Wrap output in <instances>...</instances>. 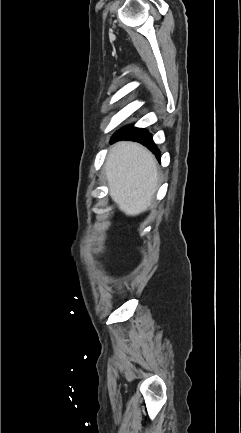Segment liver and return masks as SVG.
Returning a JSON list of instances; mask_svg holds the SVG:
<instances>
[{"label": "liver", "instance_id": "obj_1", "mask_svg": "<svg viewBox=\"0 0 241 433\" xmlns=\"http://www.w3.org/2000/svg\"><path fill=\"white\" fill-rule=\"evenodd\" d=\"M105 174L112 200L128 216L146 211L158 186L154 155L138 143L115 144L106 159Z\"/></svg>", "mask_w": 241, "mask_h": 433}]
</instances>
